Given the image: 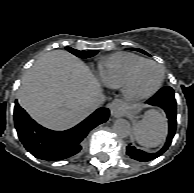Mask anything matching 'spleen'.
<instances>
[{
    "label": "spleen",
    "instance_id": "spleen-1",
    "mask_svg": "<svg viewBox=\"0 0 194 193\" xmlns=\"http://www.w3.org/2000/svg\"><path fill=\"white\" fill-rule=\"evenodd\" d=\"M134 135L137 142L142 146L148 148L159 146L167 135L165 115L156 109L147 111L143 119L135 124Z\"/></svg>",
    "mask_w": 194,
    "mask_h": 193
}]
</instances>
